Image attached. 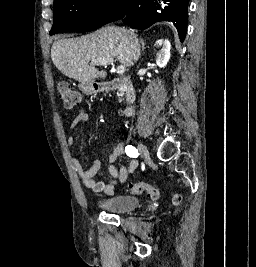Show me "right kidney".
<instances>
[{
	"label": "right kidney",
	"mask_w": 256,
	"mask_h": 267,
	"mask_svg": "<svg viewBox=\"0 0 256 267\" xmlns=\"http://www.w3.org/2000/svg\"><path fill=\"white\" fill-rule=\"evenodd\" d=\"M155 46L161 48L157 54L156 64L159 68H165L167 62L170 60V42L169 40H157Z\"/></svg>",
	"instance_id": "ca27d5eb"
}]
</instances>
